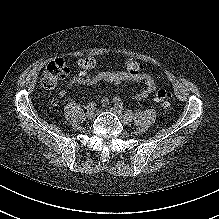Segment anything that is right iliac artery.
<instances>
[{
  "mask_svg": "<svg viewBox=\"0 0 219 219\" xmlns=\"http://www.w3.org/2000/svg\"><path fill=\"white\" fill-rule=\"evenodd\" d=\"M96 106H97V104H96V102H90L89 104H88V106H87V109L88 110H95V108H96Z\"/></svg>",
  "mask_w": 219,
  "mask_h": 219,
  "instance_id": "1",
  "label": "right iliac artery"
}]
</instances>
